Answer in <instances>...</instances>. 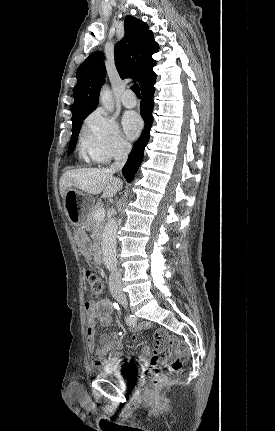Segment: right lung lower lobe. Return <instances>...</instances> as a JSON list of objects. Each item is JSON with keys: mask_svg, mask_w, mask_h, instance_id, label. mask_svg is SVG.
<instances>
[{"mask_svg": "<svg viewBox=\"0 0 275 431\" xmlns=\"http://www.w3.org/2000/svg\"><path fill=\"white\" fill-rule=\"evenodd\" d=\"M154 83H150L145 88H143L142 96L143 99L140 105V114L145 122L144 131L142 132L140 138L136 141L133 146L131 153L128 156V160L122 169V173L128 182H131L138 170L144 155V148L147 145L150 137V129L152 127L153 117V93L155 91Z\"/></svg>", "mask_w": 275, "mask_h": 431, "instance_id": "right-lung-lower-lobe-1", "label": "right lung lower lobe"}]
</instances>
